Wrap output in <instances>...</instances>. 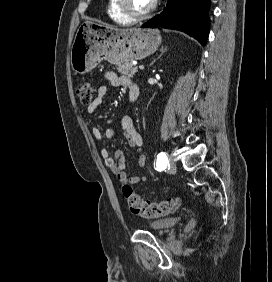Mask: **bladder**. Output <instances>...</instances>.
I'll return each mask as SVG.
<instances>
[{
	"label": "bladder",
	"instance_id": "1",
	"mask_svg": "<svg viewBox=\"0 0 272 282\" xmlns=\"http://www.w3.org/2000/svg\"><path fill=\"white\" fill-rule=\"evenodd\" d=\"M180 222L179 216L163 218L148 224V228L153 231H161L171 228Z\"/></svg>",
	"mask_w": 272,
	"mask_h": 282
}]
</instances>
